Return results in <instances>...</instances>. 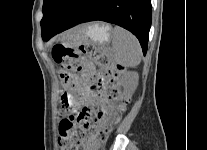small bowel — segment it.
I'll return each mask as SVG.
<instances>
[{"label": "small bowel", "mask_w": 207, "mask_h": 150, "mask_svg": "<svg viewBox=\"0 0 207 150\" xmlns=\"http://www.w3.org/2000/svg\"><path fill=\"white\" fill-rule=\"evenodd\" d=\"M86 68L88 71L93 69L89 63H86ZM74 78L76 80V86L72 87V96H70V99L77 100L79 98L84 103H95L97 98L87 89L86 84L77 77Z\"/></svg>", "instance_id": "small-bowel-1"}]
</instances>
